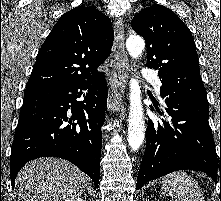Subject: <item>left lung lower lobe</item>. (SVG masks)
Returning a JSON list of instances; mask_svg holds the SVG:
<instances>
[{
  "label": "left lung lower lobe",
  "instance_id": "obj_1",
  "mask_svg": "<svg viewBox=\"0 0 221 201\" xmlns=\"http://www.w3.org/2000/svg\"><path fill=\"white\" fill-rule=\"evenodd\" d=\"M162 98L167 106V121L148 122L136 189L183 169L205 172L215 183L220 173L221 183V156L216 153L208 122V101L190 97ZM155 108L158 109L156 105Z\"/></svg>",
  "mask_w": 221,
  "mask_h": 201
}]
</instances>
